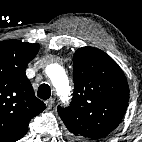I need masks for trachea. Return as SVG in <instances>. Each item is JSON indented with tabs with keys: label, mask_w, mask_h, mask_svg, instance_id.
Instances as JSON below:
<instances>
[{
	"label": "trachea",
	"mask_w": 142,
	"mask_h": 142,
	"mask_svg": "<svg viewBox=\"0 0 142 142\" xmlns=\"http://www.w3.org/2000/svg\"><path fill=\"white\" fill-rule=\"evenodd\" d=\"M51 95V89L47 84H41L38 88L37 96L40 99L46 100L49 99Z\"/></svg>",
	"instance_id": "1"
}]
</instances>
